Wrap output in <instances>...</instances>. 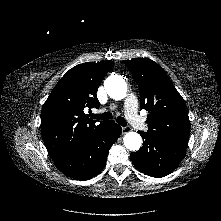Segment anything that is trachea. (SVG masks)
I'll return each mask as SVG.
<instances>
[{"instance_id": "1", "label": "trachea", "mask_w": 221, "mask_h": 221, "mask_svg": "<svg viewBox=\"0 0 221 221\" xmlns=\"http://www.w3.org/2000/svg\"><path fill=\"white\" fill-rule=\"evenodd\" d=\"M92 116V118H94V119H101V120H108V119H112V113H110V112H105V113H102V114H92L91 115ZM116 121L121 125V126H126L127 125V122H126V120L123 118V117H121V116H119V117H117L116 118Z\"/></svg>"}]
</instances>
